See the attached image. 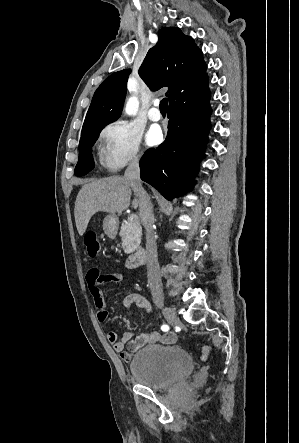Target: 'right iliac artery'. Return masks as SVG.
Segmentation results:
<instances>
[{
  "label": "right iliac artery",
  "mask_w": 299,
  "mask_h": 443,
  "mask_svg": "<svg viewBox=\"0 0 299 443\" xmlns=\"http://www.w3.org/2000/svg\"><path fill=\"white\" fill-rule=\"evenodd\" d=\"M162 331H168L169 330V326L164 324L161 326Z\"/></svg>",
  "instance_id": "1"
}]
</instances>
